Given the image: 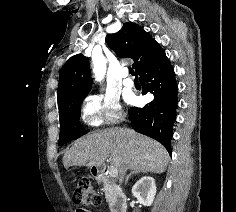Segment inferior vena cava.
<instances>
[{
  "label": "inferior vena cava",
  "instance_id": "inferior-vena-cava-1",
  "mask_svg": "<svg viewBox=\"0 0 236 212\" xmlns=\"http://www.w3.org/2000/svg\"><path fill=\"white\" fill-rule=\"evenodd\" d=\"M127 169H128L127 165H125V164L120 168V171H119V173H120L119 182L120 183L123 182Z\"/></svg>",
  "mask_w": 236,
  "mask_h": 212
}]
</instances>
